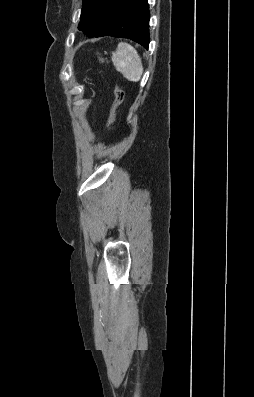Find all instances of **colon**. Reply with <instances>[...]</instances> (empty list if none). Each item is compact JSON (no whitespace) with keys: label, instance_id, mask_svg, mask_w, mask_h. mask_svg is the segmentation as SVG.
I'll list each match as a JSON object with an SVG mask.
<instances>
[{"label":"colon","instance_id":"1","mask_svg":"<svg viewBox=\"0 0 254 397\" xmlns=\"http://www.w3.org/2000/svg\"><path fill=\"white\" fill-rule=\"evenodd\" d=\"M124 98V92L119 85L114 88V100L112 102L108 119L106 121V128H109L115 121L117 109L121 105Z\"/></svg>","mask_w":254,"mask_h":397}]
</instances>
